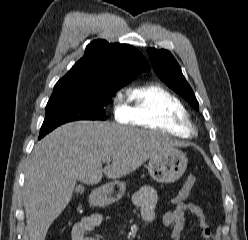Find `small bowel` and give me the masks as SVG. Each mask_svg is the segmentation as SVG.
<instances>
[{
    "label": "small bowel",
    "mask_w": 248,
    "mask_h": 240,
    "mask_svg": "<svg viewBox=\"0 0 248 240\" xmlns=\"http://www.w3.org/2000/svg\"><path fill=\"white\" fill-rule=\"evenodd\" d=\"M133 202L140 208L142 219L146 224H151L156 219V205L158 195L156 190L149 185L142 186L133 195ZM191 213L198 222L202 236L205 240H217L211 231L203 210L195 203L182 202L163 215L162 222L166 227H171L172 240H180L185 224V213ZM102 221V215L95 213L83 217L73 225L71 240H99L96 237L88 236L87 233L98 226Z\"/></svg>",
    "instance_id": "c3829d8e"
}]
</instances>
